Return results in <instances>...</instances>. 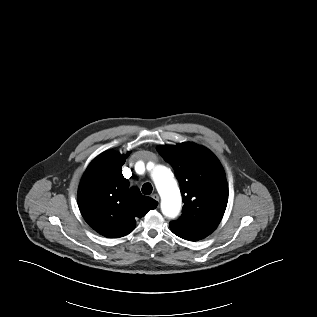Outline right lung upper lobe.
I'll return each instance as SVG.
<instances>
[{"label":"right lung upper lobe","mask_w":317,"mask_h":317,"mask_svg":"<svg viewBox=\"0 0 317 317\" xmlns=\"http://www.w3.org/2000/svg\"><path fill=\"white\" fill-rule=\"evenodd\" d=\"M127 157L113 151L101 153L90 163L78 189L82 216L107 238L129 234L136 220L158 205L154 199L143 196L137 187L129 189V181L121 170Z\"/></svg>","instance_id":"1"}]
</instances>
